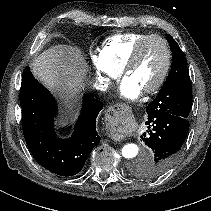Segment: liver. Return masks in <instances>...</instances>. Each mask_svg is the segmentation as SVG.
I'll use <instances>...</instances> for the list:
<instances>
[{
    "label": "liver",
    "instance_id": "6515ba94",
    "mask_svg": "<svg viewBox=\"0 0 211 211\" xmlns=\"http://www.w3.org/2000/svg\"><path fill=\"white\" fill-rule=\"evenodd\" d=\"M84 57L77 47L56 45L33 60L32 73L46 86L74 94L83 87Z\"/></svg>",
    "mask_w": 211,
    "mask_h": 211
}]
</instances>
